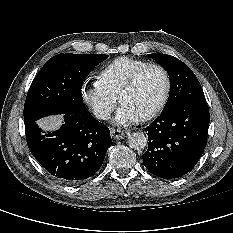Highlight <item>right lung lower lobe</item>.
<instances>
[{
  "instance_id": "obj_1",
  "label": "right lung lower lobe",
  "mask_w": 233,
  "mask_h": 233,
  "mask_svg": "<svg viewBox=\"0 0 233 233\" xmlns=\"http://www.w3.org/2000/svg\"><path fill=\"white\" fill-rule=\"evenodd\" d=\"M65 124L42 134L36 122L25 125L28 147L36 160L56 179L78 183L101 167L112 144L109 128L84 107L64 113Z\"/></svg>"
}]
</instances>
